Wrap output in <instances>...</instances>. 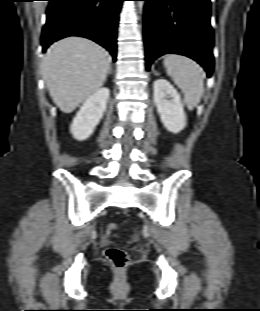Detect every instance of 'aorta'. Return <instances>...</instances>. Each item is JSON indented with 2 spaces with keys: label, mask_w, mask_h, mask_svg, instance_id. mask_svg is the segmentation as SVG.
<instances>
[{
  "label": "aorta",
  "mask_w": 260,
  "mask_h": 311,
  "mask_svg": "<svg viewBox=\"0 0 260 311\" xmlns=\"http://www.w3.org/2000/svg\"><path fill=\"white\" fill-rule=\"evenodd\" d=\"M143 5H144L143 1H138V7L140 10H142Z\"/></svg>",
  "instance_id": "762f6f07"
}]
</instances>
